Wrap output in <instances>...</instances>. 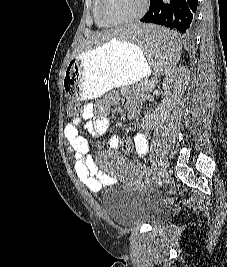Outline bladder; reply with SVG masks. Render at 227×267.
<instances>
[{"label": "bladder", "instance_id": "obj_1", "mask_svg": "<svg viewBox=\"0 0 227 267\" xmlns=\"http://www.w3.org/2000/svg\"><path fill=\"white\" fill-rule=\"evenodd\" d=\"M111 220L118 225L134 223L157 224L167 216V209L144 199L136 192L116 186L103 199Z\"/></svg>", "mask_w": 227, "mask_h": 267}]
</instances>
